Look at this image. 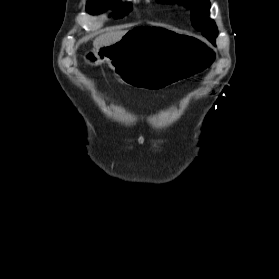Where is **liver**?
Listing matches in <instances>:
<instances>
[{
    "label": "liver",
    "instance_id": "obj_1",
    "mask_svg": "<svg viewBox=\"0 0 279 279\" xmlns=\"http://www.w3.org/2000/svg\"><path fill=\"white\" fill-rule=\"evenodd\" d=\"M126 33L127 31H114L102 34L95 38L93 46L95 49H100L102 47L113 45L117 43Z\"/></svg>",
    "mask_w": 279,
    "mask_h": 279
}]
</instances>
